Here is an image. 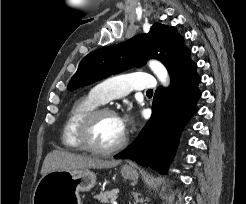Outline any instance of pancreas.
<instances>
[{"label": "pancreas", "mask_w": 246, "mask_h": 204, "mask_svg": "<svg viewBox=\"0 0 246 204\" xmlns=\"http://www.w3.org/2000/svg\"><path fill=\"white\" fill-rule=\"evenodd\" d=\"M118 197V192L116 190L105 191L95 196L100 203L107 204L112 200H116Z\"/></svg>", "instance_id": "obj_1"}]
</instances>
